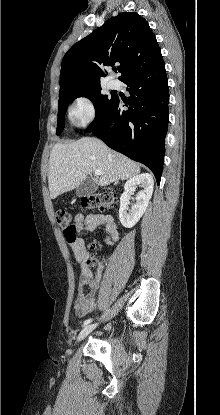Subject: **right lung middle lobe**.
I'll return each instance as SVG.
<instances>
[{"instance_id":"1","label":"right lung middle lobe","mask_w":220,"mask_h":415,"mask_svg":"<svg viewBox=\"0 0 220 415\" xmlns=\"http://www.w3.org/2000/svg\"><path fill=\"white\" fill-rule=\"evenodd\" d=\"M77 97H87L95 106L96 117L87 128L89 131L98 127L105 120L115 98L114 95H102L100 84L77 86L59 94L57 135H60L64 129L65 112L70 101Z\"/></svg>"}]
</instances>
